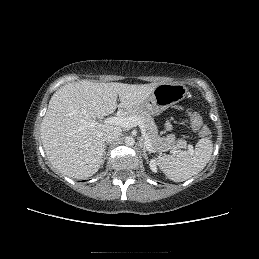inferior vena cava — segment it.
<instances>
[{
  "instance_id": "obj_1",
  "label": "inferior vena cava",
  "mask_w": 259,
  "mask_h": 259,
  "mask_svg": "<svg viewBox=\"0 0 259 259\" xmlns=\"http://www.w3.org/2000/svg\"><path fill=\"white\" fill-rule=\"evenodd\" d=\"M122 131L118 127L110 126L108 129H106L104 133V139L107 143H110L116 139H118L121 135Z\"/></svg>"
}]
</instances>
